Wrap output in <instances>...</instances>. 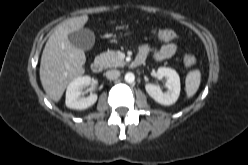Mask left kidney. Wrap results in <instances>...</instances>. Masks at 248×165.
I'll return each instance as SVG.
<instances>
[{"instance_id": "left-kidney-1", "label": "left kidney", "mask_w": 248, "mask_h": 165, "mask_svg": "<svg viewBox=\"0 0 248 165\" xmlns=\"http://www.w3.org/2000/svg\"><path fill=\"white\" fill-rule=\"evenodd\" d=\"M158 78H166L167 92L163 93L161 88L154 84H146L145 89L149 96L162 105L174 104L180 95V78L178 73L171 68L160 67L157 70Z\"/></svg>"}]
</instances>
